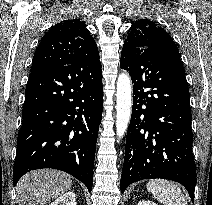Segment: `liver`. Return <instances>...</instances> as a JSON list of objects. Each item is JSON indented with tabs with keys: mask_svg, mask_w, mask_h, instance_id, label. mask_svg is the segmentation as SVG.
I'll list each match as a JSON object with an SVG mask.
<instances>
[{
	"mask_svg": "<svg viewBox=\"0 0 212 205\" xmlns=\"http://www.w3.org/2000/svg\"><path fill=\"white\" fill-rule=\"evenodd\" d=\"M71 176L52 169L36 170L24 175L17 184L19 205H47L70 190Z\"/></svg>",
	"mask_w": 212,
	"mask_h": 205,
	"instance_id": "1",
	"label": "liver"
}]
</instances>
